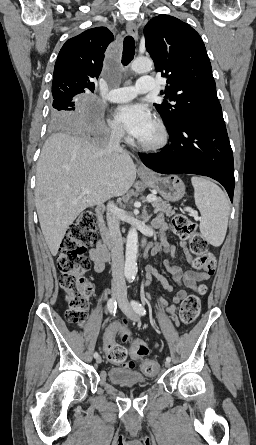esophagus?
<instances>
[{
  "mask_svg": "<svg viewBox=\"0 0 256 445\" xmlns=\"http://www.w3.org/2000/svg\"><path fill=\"white\" fill-rule=\"evenodd\" d=\"M126 30L134 39H136V40L138 39V29H137V26L133 22H128L126 24ZM138 171L145 173V174H149V171L142 165H140L138 167Z\"/></svg>",
  "mask_w": 256,
  "mask_h": 445,
  "instance_id": "1",
  "label": "esophagus"
}]
</instances>
